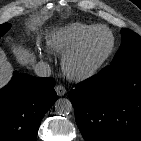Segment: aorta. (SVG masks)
Returning a JSON list of instances; mask_svg holds the SVG:
<instances>
[{
    "instance_id": "obj_1",
    "label": "aorta",
    "mask_w": 141,
    "mask_h": 141,
    "mask_svg": "<svg viewBox=\"0 0 141 141\" xmlns=\"http://www.w3.org/2000/svg\"><path fill=\"white\" fill-rule=\"evenodd\" d=\"M55 110L59 115H67L73 110V106L69 99L60 98L55 102Z\"/></svg>"
}]
</instances>
